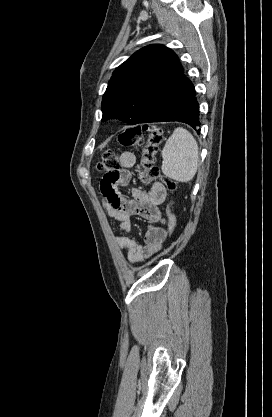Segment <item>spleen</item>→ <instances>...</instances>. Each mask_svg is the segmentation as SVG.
<instances>
[{
  "mask_svg": "<svg viewBox=\"0 0 272 417\" xmlns=\"http://www.w3.org/2000/svg\"><path fill=\"white\" fill-rule=\"evenodd\" d=\"M162 172L178 182L193 179L199 163L198 144L193 135L177 127L162 150Z\"/></svg>",
  "mask_w": 272,
  "mask_h": 417,
  "instance_id": "spleen-1",
  "label": "spleen"
}]
</instances>
